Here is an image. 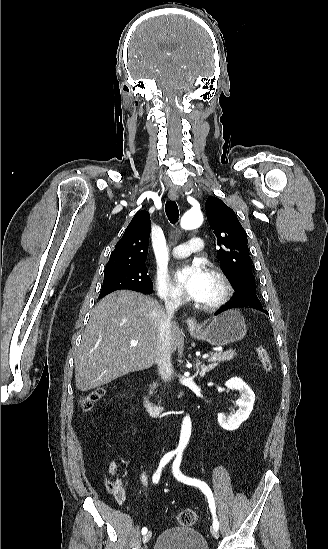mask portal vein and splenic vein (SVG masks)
Listing matches in <instances>:
<instances>
[{
    "mask_svg": "<svg viewBox=\"0 0 328 549\" xmlns=\"http://www.w3.org/2000/svg\"><path fill=\"white\" fill-rule=\"evenodd\" d=\"M131 347H136L138 345V341H131L130 343ZM204 359H209V353L203 354Z\"/></svg>",
    "mask_w": 328,
    "mask_h": 549,
    "instance_id": "1",
    "label": "portal vein and splenic vein"
}]
</instances>
